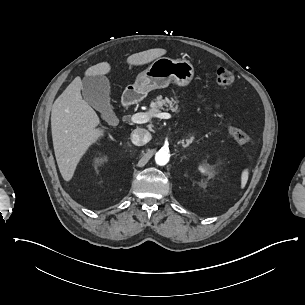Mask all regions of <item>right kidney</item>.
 Listing matches in <instances>:
<instances>
[{"label":"right kidney","instance_id":"obj_1","mask_svg":"<svg viewBox=\"0 0 305 305\" xmlns=\"http://www.w3.org/2000/svg\"><path fill=\"white\" fill-rule=\"evenodd\" d=\"M102 161H103V159L96 158L95 159V164H100Z\"/></svg>","mask_w":305,"mask_h":305}]
</instances>
